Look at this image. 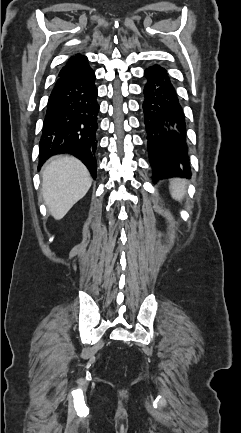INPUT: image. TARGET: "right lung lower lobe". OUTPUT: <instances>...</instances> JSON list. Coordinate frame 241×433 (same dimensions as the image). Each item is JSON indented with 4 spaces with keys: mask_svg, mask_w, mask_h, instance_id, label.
I'll use <instances>...</instances> for the list:
<instances>
[{
    "mask_svg": "<svg viewBox=\"0 0 241 433\" xmlns=\"http://www.w3.org/2000/svg\"><path fill=\"white\" fill-rule=\"evenodd\" d=\"M87 62L59 76L50 94L40 140V166L53 154L69 153L97 174V88Z\"/></svg>",
    "mask_w": 241,
    "mask_h": 433,
    "instance_id": "obj_1",
    "label": "right lung lower lobe"
}]
</instances>
